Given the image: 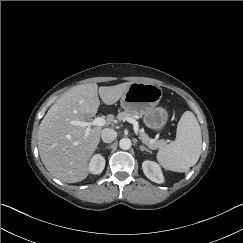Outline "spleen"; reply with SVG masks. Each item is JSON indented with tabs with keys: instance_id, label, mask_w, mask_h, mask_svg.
<instances>
[{
	"instance_id": "1",
	"label": "spleen",
	"mask_w": 243,
	"mask_h": 243,
	"mask_svg": "<svg viewBox=\"0 0 243 243\" xmlns=\"http://www.w3.org/2000/svg\"><path fill=\"white\" fill-rule=\"evenodd\" d=\"M201 148L200 125L191 111H185L177 125L176 139L158 150L157 161L166 170L187 172L197 163Z\"/></svg>"
}]
</instances>
